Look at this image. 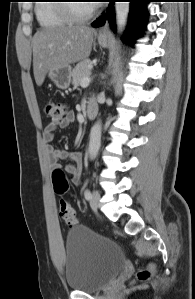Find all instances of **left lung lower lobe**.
<instances>
[{
  "instance_id": "left-lung-lower-lobe-1",
  "label": "left lung lower lobe",
  "mask_w": 195,
  "mask_h": 299,
  "mask_svg": "<svg viewBox=\"0 0 195 299\" xmlns=\"http://www.w3.org/2000/svg\"><path fill=\"white\" fill-rule=\"evenodd\" d=\"M130 2V13H129V35L132 41L140 37L141 30L144 28V24L147 20V10L146 5L150 0H127ZM115 0L110 1V5L108 8V13L103 14L99 18H97L93 23L92 26L97 28L104 25L105 20L108 18L112 28L115 29V15H114V8L113 3Z\"/></svg>"
}]
</instances>
